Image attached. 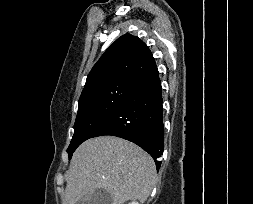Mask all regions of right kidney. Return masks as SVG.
I'll return each instance as SVG.
<instances>
[{"instance_id": "obj_1", "label": "right kidney", "mask_w": 253, "mask_h": 204, "mask_svg": "<svg viewBox=\"0 0 253 204\" xmlns=\"http://www.w3.org/2000/svg\"><path fill=\"white\" fill-rule=\"evenodd\" d=\"M128 204H139L138 202H131V203H128Z\"/></svg>"}]
</instances>
